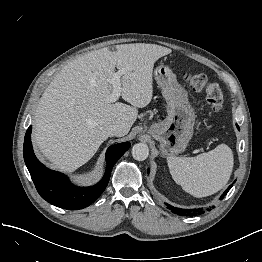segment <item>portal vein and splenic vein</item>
I'll return each mask as SVG.
<instances>
[{
	"instance_id": "obj_1",
	"label": "portal vein and splenic vein",
	"mask_w": 262,
	"mask_h": 262,
	"mask_svg": "<svg viewBox=\"0 0 262 262\" xmlns=\"http://www.w3.org/2000/svg\"><path fill=\"white\" fill-rule=\"evenodd\" d=\"M123 74H124L123 70H119V71H117L113 74L112 79H111L113 91L108 97L109 102L113 103V102L117 101L119 99V97L121 96L120 78Z\"/></svg>"
}]
</instances>
